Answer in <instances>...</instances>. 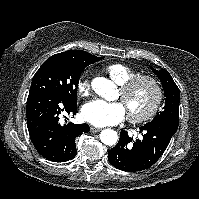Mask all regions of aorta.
Segmentation results:
<instances>
[{
  "mask_svg": "<svg viewBox=\"0 0 199 199\" xmlns=\"http://www.w3.org/2000/svg\"><path fill=\"white\" fill-rule=\"evenodd\" d=\"M92 88L99 96L106 100L113 99L115 84L112 81L104 77H97L92 82ZM100 140L107 146H113L118 142L117 132L112 129H104L100 133Z\"/></svg>",
  "mask_w": 199,
  "mask_h": 199,
  "instance_id": "obj_1",
  "label": "aorta"
}]
</instances>
